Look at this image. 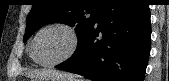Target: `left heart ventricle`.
<instances>
[{
	"label": "left heart ventricle",
	"mask_w": 169,
	"mask_h": 81,
	"mask_svg": "<svg viewBox=\"0 0 169 81\" xmlns=\"http://www.w3.org/2000/svg\"><path fill=\"white\" fill-rule=\"evenodd\" d=\"M71 46L70 36L62 29L43 32L35 45L36 57L42 63H51L63 57Z\"/></svg>",
	"instance_id": "b2bd125f"
}]
</instances>
